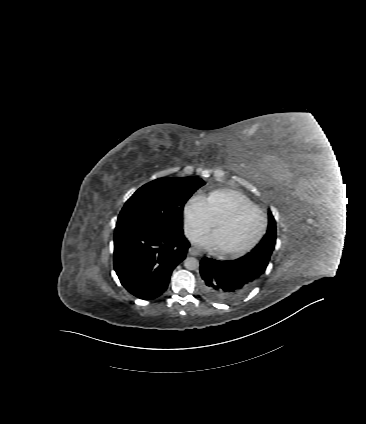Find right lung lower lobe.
Masks as SVG:
<instances>
[{
  "label": "right lung lower lobe",
  "instance_id": "1",
  "mask_svg": "<svg viewBox=\"0 0 366 424\" xmlns=\"http://www.w3.org/2000/svg\"><path fill=\"white\" fill-rule=\"evenodd\" d=\"M190 244L181 233L155 226L116 227L114 269L134 296L148 300L161 295L173 269L186 257Z\"/></svg>",
  "mask_w": 366,
  "mask_h": 424
}]
</instances>
